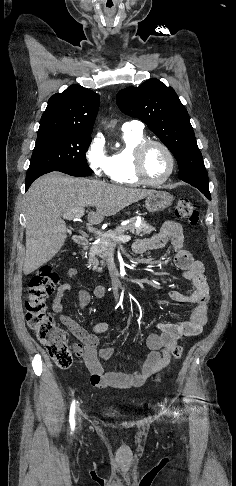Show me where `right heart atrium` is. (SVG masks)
Returning <instances> with one entry per match:
<instances>
[{"label":"right heart atrium","mask_w":236,"mask_h":486,"mask_svg":"<svg viewBox=\"0 0 236 486\" xmlns=\"http://www.w3.org/2000/svg\"><path fill=\"white\" fill-rule=\"evenodd\" d=\"M86 160L93 173L98 177L110 176V158L101 136H94L86 149Z\"/></svg>","instance_id":"d8ad5b80"}]
</instances>
